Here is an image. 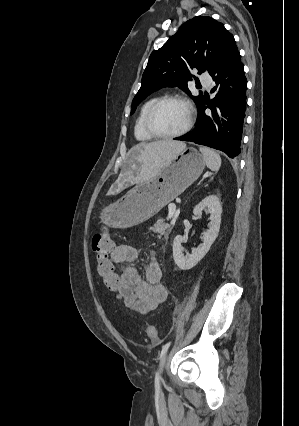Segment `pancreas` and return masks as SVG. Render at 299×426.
<instances>
[{
  "label": "pancreas",
  "mask_w": 299,
  "mask_h": 426,
  "mask_svg": "<svg viewBox=\"0 0 299 426\" xmlns=\"http://www.w3.org/2000/svg\"><path fill=\"white\" fill-rule=\"evenodd\" d=\"M172 230L171 225L164 223V220H158L152 227V231L157 234L158 237L162 235H168Z\"/></svg>",
  "instance_id": "1"
}]
</instances>
